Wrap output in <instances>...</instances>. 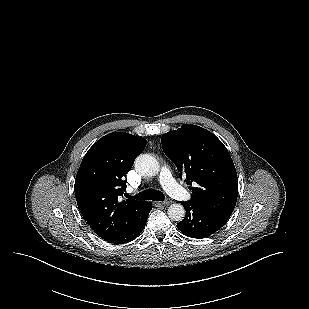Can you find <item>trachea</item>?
Wrapping results in <instances>:
<instances>
[{"label": "trachea", "instance_id": "obj_1", "mask_svg": "<svg viewBox=\"0 0 309 309\" xmlns=\"http://www.w3.org/2000/svg\"><path fill=\"white\" fill-rule=\"evenodd\" d=\"M135 199L163 201L165 199V196L160 191L153 190V189H147V190L140 192L139 194H136Z\"/></svg>", "mask_w": 309, "mask_h": 309}]
</instances>
